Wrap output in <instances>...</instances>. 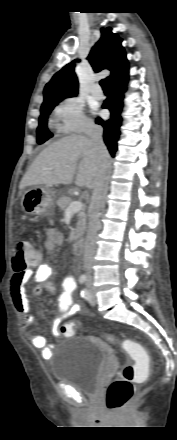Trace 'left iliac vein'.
<instances>
[{
	"label": "left iliac vein",
	"instance_id": "1",
	"mask_svg": "<svg viewBox=\"0 0 177 440\" xmlns=\"http://www.w3.org/2000/svg\"><path fill=\"white\" fill-rule=\"evenodd\" d=\"M90 299L89 302L92 306L97 304V298L92 288L89 289Z\"/></svg>",
	"mask_w": 177,
	"mask_h": 440
}]
</instances>
